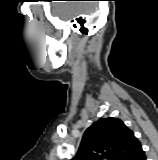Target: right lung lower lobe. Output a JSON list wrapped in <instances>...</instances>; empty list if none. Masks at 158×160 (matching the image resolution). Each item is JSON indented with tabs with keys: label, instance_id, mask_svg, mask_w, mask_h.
Wrapping results in <instances>:
<instances>
[{
	"label": "right lung lower lobe",
	"instance_id": "1",
	"mask_svg": "<svg viewBox=\"0 0 158 160\" xmlns=\"http://www.w3.org/2000/svg\"><path fill=\"white\" fill-rule=\"evenodd\" d=\"M129 160H146L144 151L139 149Z\"/></svg>",
	"mask_w": 158,
	"mask_h": 160
}]
</instances>
